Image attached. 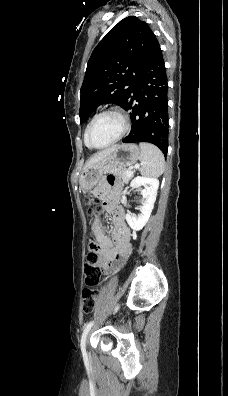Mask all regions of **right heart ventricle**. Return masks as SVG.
Segmentation results:
<instances>
[{
    "label": "right heart ventricle",
    "mask_w": 228,
    "mask_h": 396,
    "mask_svg": "<svg viewBox=\"0 0 228 396\" xmlns=\"http://www.w3.org/2000/svg\"><path fill=\"white\" fill-rule=\"evenodd\" d=\"M92 121V120H91ZM90 121V122H91ZM90 122L87 124V126L85 127V130H84V134H83V137H84V142H85V144H86V146L87 147H89L88 146V144H87V141H86V135H87V130H88V127H89V125H90ZM90 148V147H89Z\"/></svg>",
    "instance_id": "1"
}]
</instances>
